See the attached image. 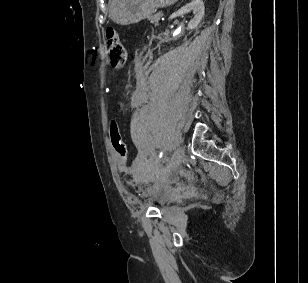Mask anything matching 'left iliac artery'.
Masks as SVG:
<instances>
[{
    "mask_svg": "<svg viewBox=\"0 0 308 283\" xmlns=\"http://www.w3.org/2000/svg\"><path fill=\"white\" fill-rule=\"evenodd\" d=\"M162 155H163V152L161 151V152H160V154H159V157L161 158V157H162Z\"/></svg>",
    "mask_w": 308,
    "mask_h": 283,
    "instance_id": "obj_1",
    "label": "left iliac artery"
}]
</instances>
